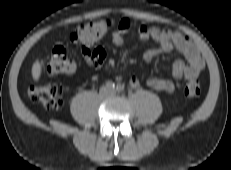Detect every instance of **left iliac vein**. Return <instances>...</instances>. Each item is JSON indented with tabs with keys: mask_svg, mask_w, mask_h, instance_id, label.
<instances>
[{
	"mask_svg": "<svg viewBox=\"0 0 231 170\" xmlns=\"http://www.w3.org/2000/svg\"><path fill=\"white\" fill-rule=\"evenodd\" d=\"M111 94H114L115 92L114 91H110Z\"/></svg>",
	"mask_w": 231,
	"mask_h": 170,
	"instance_id": "1",
	"label": "left iliac vein"
}]
</instances>
